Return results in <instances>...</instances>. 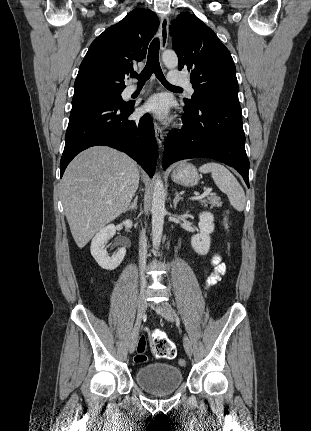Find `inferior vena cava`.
I'll return each instance as SVG.
<instances>
[{
    "label": "inferior vena cava",
    "mask_w": 311,
    "mask_h": 431,
    "mask_svg": "<svg viewBox=\"0 0 311 431\" xmlns=\"http://www.w3.org/2000/svg\"><path fill=\"white\" fill-rule=\"evenodd\" d=\"M146 255H147V239L145 231H141L139 237V267L141 271V287L142 291H147L146 279H145V267H146Z\"/></svg>",
    "instance_id": "602c4592"
}]
</instances>
